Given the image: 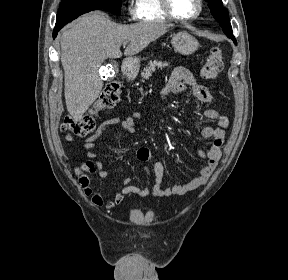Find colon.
Segmentation results:
<instances>
[{"label":"colon","mask_w":288,"mask_h":280,"mask_svg":"<svg viewBox=\"0 0 288 280\" xmlns=\"http://www.w3.org/2000/svg\"><path fill=\"white\" fill-rule=\"evenodd\" d=\"M224 67V57L218 47H213L208 53L201 69V77L206 80L215 79ZM121 94V83L117 80L109 82L100 93L93 107L82 117L73 118L67 116L62 123V131L68 137L72 135L84 137L94 131L96 118L99 111L113 108L119 101ZM94 171L92 163L87 162L78 169L80 183L89 185V174Z\"/></svg>","instance_id":"5ec220e1"}]
</instances>
